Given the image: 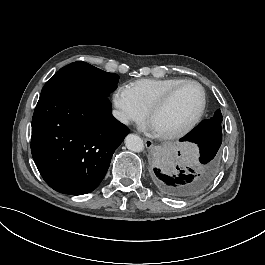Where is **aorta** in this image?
<instances>
[{
    "instance_id": "aorta-1",
    "label": "aorta",
    "mask_w": 265,
    "mask_h": 265,
    "mask_svg": "<svg viewBox=\"0 0 265 265\" xmlns=\"http://www.w3.org/2000/svg\"><path fill=\"white\" fill-rule=\"evenodd\" d=\"M127 149L133 152H141L144 149L143 140L135 134H128L125 138Z\"/></svg>"
}]
</instances>
